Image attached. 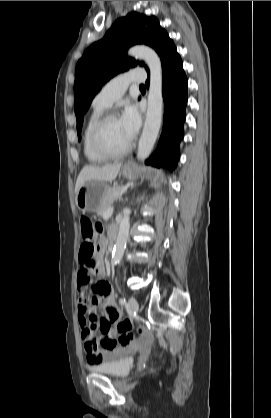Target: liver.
Segmentation results:
<instances>
[{
    "label": "liver",
    "mask_w": 271,
    "mask_h": 418,
    "mask_svg": "<svg viewBox=\"0 0 271 418\" xmlns=\"http://www.w3.org/2000/svg\"><path fill=\"white\" fill-rule=\"evenodd\" d=\"M121 166V163L105 165L102 167L92 165L84 166L78 175L75 185V193L77 194L81 186L90 180L112 182L117 177Z\"/></svg>",
    "instance_id": "1"
}]
</instances>
